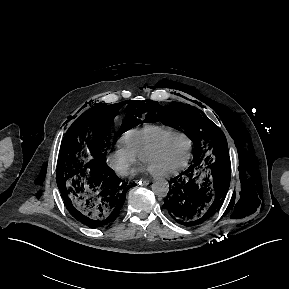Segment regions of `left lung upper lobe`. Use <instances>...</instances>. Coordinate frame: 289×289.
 <instances>
[{
	"label": "left lung upper lobe",
	"instance_id": "5c2ea615",
	"mask_svg": "<svg viewBox=\"0 0 289 289\" xmlns=\"http://www.w3.org/2000/svg\"><path fill=\"white\" fill-rule=\"evenodd\" d=\"M144 121L161 122L185 131L194 143L193 162L223 168L229 165L227 140L224 133L201 110L188 104L172 102L161 106L156 101L142 103Z\"/></svg>",
	"mask_w": 289,
	"mask_h": 289
}]
</instances>
